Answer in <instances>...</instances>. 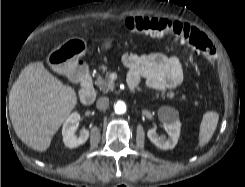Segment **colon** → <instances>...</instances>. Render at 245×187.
I'll list each match as a JSON object with an SVG mask.
<instances>
[{"label":"colon","instance_id":"1","mask_svg":"<svg viewBox=\"0 0 245 187\" xmlns=\"http://www.w3.org/2000/svg\"><path fill=\"white\" fill-rule=\"evenodd\" d=\"M122 26L133 33L170 37L175 42L199 52L210 62H214L216 58L215 49L207 35L190 24L165 18L134 16L124 19Z\"/></svg>","mask_w":245,"mask_h":187}]
</instances>
